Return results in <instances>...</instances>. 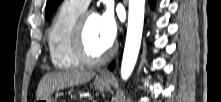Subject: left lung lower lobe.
<instances>
[{"mask_svg":"<svg viewBox=\"0 0 221 102\" xmlns=\"http://www.w3.org/2000/svg\"><path fill=\"white\" fill-rule=\"evenodd\" d=\"M149 2H150L151 5H153L155 0H149ZM114 67H115V63H112L109 68L113 69Z\"/></svg>","mask_w":221,"mask_h":102,"instance_id":"obj_1","label":"left lung lower lobe"}]
</instances>
